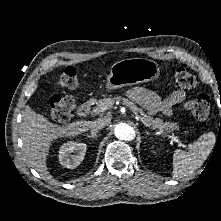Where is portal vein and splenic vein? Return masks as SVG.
<instances>
[{"instance_id":"portal-vein-and-splenic-vein-1","label":"portal vein and splenic vein","mask_w":221,"mask_h":221,"mask_svg":"<svg viewBox=\"0 0 221 221\" xmlns=\"http://www.w3.org/2000/svg\"><path fill=\"white\" fill-rule=\"evenodd\" d=\"M106 109H108L107 107H104L100 112H104ZM137 120H140L145 126H148L150 127L139 115L136 114V117H135ZM152 128V127H150ZM153 129V128H152ZM158 134H161V135H165L167 136L169 139H171L173 142L177 143L179 147H182V148H185L187 147V144L183 143L181 140H179L178 138H176L175 136L173 135H170V134H167L166 132L164 131H158L157 132Z\"/></svg>"}]
</instances>
